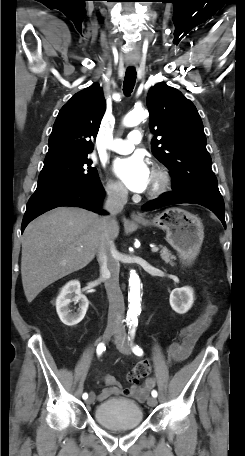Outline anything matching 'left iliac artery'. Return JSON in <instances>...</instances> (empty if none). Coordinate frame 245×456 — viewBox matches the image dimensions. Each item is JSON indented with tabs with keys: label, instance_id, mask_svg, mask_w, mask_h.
Instances as JSON below:
<instances>
[{
	"label": "left iliac artery",
	"instance_id": "left-iliac-artery-1",
	"mask_svg": "<svg viewBox=\"0 0 245 456\" xmlns=\"http://www.w3.org/2000/svg\"><path fill=\"white\" fill-rule=\"evenodd\" d=\"M137 326V323H134L132 322V324H130V328H129V334H130V337H129V340L131 341L133 338H134V335H135V328ZM132 351L135 355L137 356H142L143 355V350L138 346V345H135L132 347ZM152 396L153 397H157L158 393L156 390H153L151 392Z\"/></svg>",
	"mask_w": 245,
	"mask_h": 456
}]
</instances>
